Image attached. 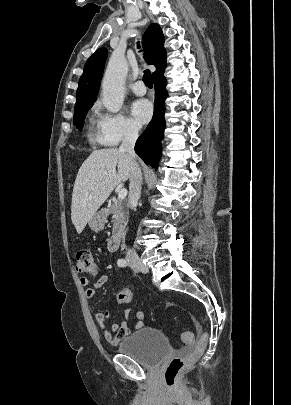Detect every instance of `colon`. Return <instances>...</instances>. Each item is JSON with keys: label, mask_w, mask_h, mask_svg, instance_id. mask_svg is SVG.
Listing matches in <instances>:
<instances>
[{"label": "colon", "mask_w": 291, "mask_h": 405, "mask_svg": "<svg viewBox=\"0 0 291 405\" xmlns=\"http://www.w3.org/2000/svg\"><path fill=\"white\" fill-rule=\"evenodd\" d=\"M76 269L80 274L95 276L99 271L98 263L93 254L88 249H81L76 255ZM132 298V291L129 288H121L117 294V300L120 304H127ZM185 345H191L194 342V335L191 332H185L181 336ZM208 342L207 333H202L196 342L195 349L187 356L173 357L164 371V380L168 386L176 384L180 374L184 369L193 365L203 354Z\"/></svg>", "instance_id": "obj_1"}]
</instances>
